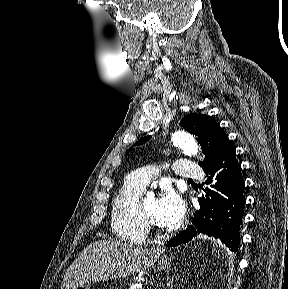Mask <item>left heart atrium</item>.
Masks as SVG:
<instances>
[{"instance_id": "obj_1", "label": "left heart atrium", "mask_w": 288, "mask_h": 289, "mask_svg": "<svg viewBox=\"0 0 288 289\" xmlns=\"http://www.w3.org/2000/svg\"><path fill=\"white\" fill-rule=\"evenodd\" d=\"M184 211L185 206L181 197L172 189L164 188L157 200V223L165 227H175L181 222Z\"/></svg>"}]
</instances>
